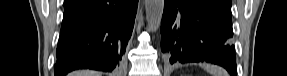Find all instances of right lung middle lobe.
<instances>
[{
  "label": "right lung middle lobe",
  "instance_id": "right-lung-middle-lobe-1",
  "mask_svg": "<svg viewBox=\"0 0 287 76\" xmlns=\"http://www.w3.org/2000/svg\"><path fill=\"white\" fill-rule=\"evenodd\" d=\"M76 1H73V0H65L64 1V7L65 8H68L70 6H72Z\"/></svg>",
  "mask_w": 287,
  "mask_h": 76
}]
</instances>
